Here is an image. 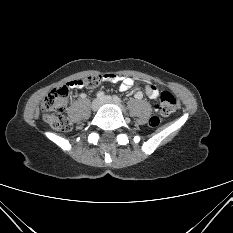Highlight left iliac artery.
Returning a JSON list of instances; mask_svg holds the SVG:
<instances>
[{"label":"left iliac artery","mask_w":233,"mask_h":233,"mask_svg":"<svg viewBox=\"0 0 233 233\" xmlns=\"http://www.w3.org/2000/svg\"><path fill=\"white\" fill-rule=\"evenodd\" d=\"M113 99H114V101L116 102V103H118V104H121L122 103V100L118 97V96H113Z\"/></svg>","instance_id":"obj_1"}]
</instances>
